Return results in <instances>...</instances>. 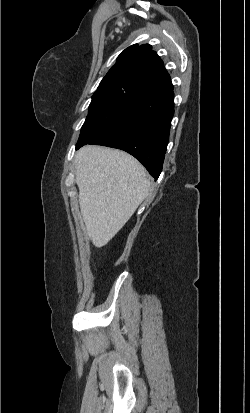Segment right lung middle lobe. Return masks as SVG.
<instances>
[{
  "label": "right lung middle lobe",
  "instance_id": "1",
  "mask_svg": "<svg viewBox=\"0 0 250 413\" xmlns=\"http://www.w3.org/2000/svg\"><path fill=\"white\" fill-rule=\"evenodd\" d=\"M137 92L116 88H99L92 97L88 116L81 128L76 148L86 145L106 129L125 106L138 98Z\"/></svg>",
  "mask_w": 250,
  "mask_h": 413
}]
</instances>
